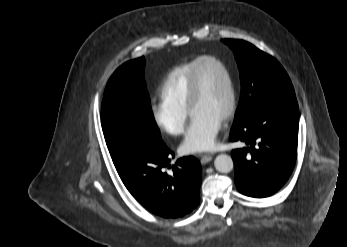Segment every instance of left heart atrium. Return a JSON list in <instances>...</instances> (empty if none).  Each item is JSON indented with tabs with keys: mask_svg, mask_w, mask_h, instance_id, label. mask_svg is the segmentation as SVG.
<instances>
[{
	"mask_svg": "<svg viewBox=\"0 0 347 247\" xmlns=\"http://www.w3.org/2000/svg\"><path fill=\"white\" fill-rule=\"evenodd\" d=\"M221 127L222 119L205 114L192 116L191 123L180 144V151L183 154L191 155L210 150L215 145Z\"/></svg>",
	"mask_w": 347,
	"mask_h": 247,
	"instance_id": "left-heart-atrium-1",
	"label": "left heart atrium"
}]
</instances>
